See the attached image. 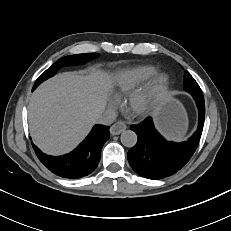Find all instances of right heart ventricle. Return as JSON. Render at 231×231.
Instances as JSON below:
<instances>
[{
    "label": "right heart ventricle",
    "instance_id": "obj_1",
    "mask_svg": "<svg viewBox=\"0 0 231 231\" xmlns=\"http://www.w3.org/2000/svg\"><path fill=\"white\" fill-rule=\"evenodd\" d=\"M156 72L155 68L147 66L121 70L115 77L116 96L120 97L131 93L145 81L153 77Z\"/></svg>",
    "mask_w": 231,
    "mask_h": 231
}]
</instances>
